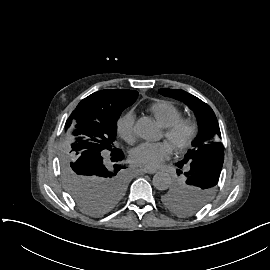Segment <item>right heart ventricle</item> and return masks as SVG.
I'll use <instances>...</instances> for the list:
<instances>
[{"mask_svg": "<svg viewBox=\"0 0 270 270\" xmlns=\"http://www.w3.org/2000/svg\"><path fill=\"white\" fill-rule=\"evenodd\" d=\"M149 111L155 117L161 127L169 129L183 116V111L167 100H156L149 107Z\"/></svg>", "mask_w": 270, "mask_h": 270, "instance_id": "e07e8e85", "label": "right heart ventricle"}]
</instances>
